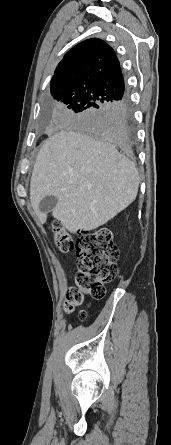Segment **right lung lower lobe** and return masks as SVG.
Masks as SVG:
<instances>
[{
    "label": "right lung lower lobe",
    "instance_id": "98d812e1",
    "mask_svg": "<svg viewBox=\"0 0 171 445\" xmlns=\"http://www.w3.org/2000/svg\"><path fill=\"white\" fill-rule=\"evenodd\" d=\"M127 96L122 100H110L98 115V128L102 137L129 150L131 146V126L129 123Z\"/></svg>",
    "mask_w": 171,
    "mask_h": 445
}]
</instances>
